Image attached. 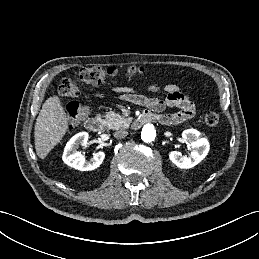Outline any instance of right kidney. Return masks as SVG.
<instances>
[{
    "mask_svg": "<svg viewBox=\"0 0 259 259\" xmlns=\"http://www.w3.org/2000/svg\"><path fill=\"white\" fill-rule=\"evenodd\" d=\"M88 137L87 132H80L67 142L62 156L63 161L67 165L80 171H91L100 166L105 158L104 152L99 151L93 154V158L90 161H86L85 157L77 151L79 145H85L87 143Z\"/></svg>",
    "mask_w": 259,
    "mask_h": 259,
    "instance_id": "ca27d5eb",
    "label": "right kidney"
}]
</instances>
